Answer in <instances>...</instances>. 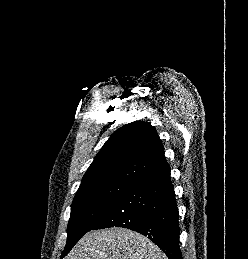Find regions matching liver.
<instances>
[{"instance_id": "obj_1", "label": "liver", "mask_w": 248, "mask_h": 259, "mask_svg": "<svg viewBox=\"0 0 248 259\" xmlns=\"http://www.w3.org/2000/svg\"><path fill=\"white\" fill-rule=\"evenodd\" d=\"M67 259H168L147 237L125 228H109L85 234Z\"/></svg>"}]
</instances>
